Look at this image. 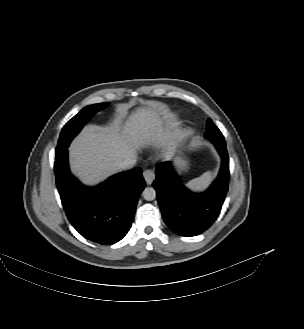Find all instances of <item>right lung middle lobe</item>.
<instances>
[{
    "mask_svg": "<svg viewBox=\"0 0 304 329\" xmlns=\"http://www.w3.org/2000/svg\"><path fill=\"white\" fill-rule=\"evenodd\" d=\"M107 105L108 103L89 105L83 108L76 116L68 121L60 134L56 154L60 153L64 149H67L72 139L80 132L82 127L90 120V118Z\"/></svg>",
    "mask_w": 304,
    "mask_h": 329,
    "instance_id": "obj_1",
    "label": "right lung middle lobe"
}]
</instances>
